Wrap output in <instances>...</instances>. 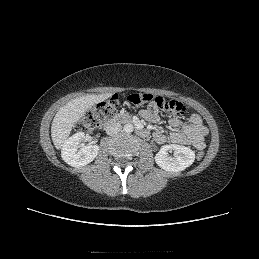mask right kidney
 <instances>
[{
	"label": "right kidney",
	"instance_id": "ca27d5eb",
	"mask_svg": "<svg viewBox=\"0 0 259 259\" xmlns=\"http://www.w3.org/2000/svg\"><path fill=\"white\" fill-rule=\"evenodd\" d=\"M85 133L78 132L69 137L61 151L62 159L72 167L86 166L92 162L99 152L98 145H83Z\"/></svg>",
	"mask_w": 259,
	"mask_h": 259
}]
</instances>
